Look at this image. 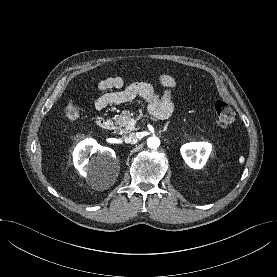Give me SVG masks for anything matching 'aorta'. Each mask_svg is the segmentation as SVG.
Wrapping results in <instances>:
<instances>
[{
    "instance_id": "762f6f07",
    "label": "aorta",
    "mask_w": 277,
    "mask_h": 277,
    "mask_svg": "<svg viewBox=\"0 0 277 277\" xmlns=\"http://www.w3.org/2000/svg\"><path fill=\"white\" fill-rule=\"evenodd\" d=\"M147 146L151 149H156L160 146V139L156 136L149 137L147 140Z\"/></svg>"
}]
</instances>
